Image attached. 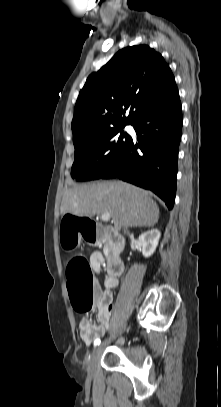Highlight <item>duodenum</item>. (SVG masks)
Listing matches in <instances>:
<instances>
[{
	"instance_id": "obj_1",
	"label": "duodenum",
	"mask_w": 221,
	"mask_h": 407,
	"mask_svg": "<svg viewBox=\"0 0 221 407\" xmlns=\"http://www.w3.org/2000/svg\"><path fill=\"white\" fill-rule=\"evenodd\" d=\"M108 239L111 242V252L107 260L108 272L111 275L119 276L124 270L121 252L124 248L123 238L112 228H108Z\"/></svg>"
}]
</instances>
